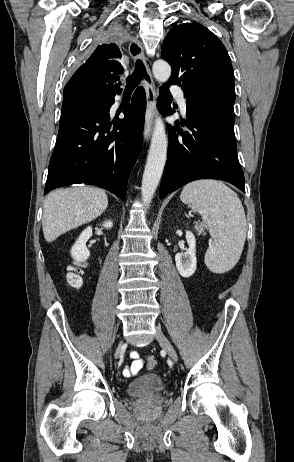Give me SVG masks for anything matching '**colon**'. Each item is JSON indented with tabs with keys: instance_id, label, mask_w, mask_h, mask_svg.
I'll list each match as a JSON object with an SVG mask.
<instances>
[{
	"instance_id": "colon-1",
	"label": "colon",
	"mask_w": 294,
	"mask_h": 462,
	"mask_svg": "<svg viewBox=\"0 0 294 462\" xmlns=\"http://www.w3.org/2000/svg\"><path fill=\"white\" fill-rule=\"evenodd\" d=\"M67 282L70 286L78 288L82 284V266L79 263L69 266L67 272ZM157 361L154 356H150L147 360L148 367H154Z\"/></svg>"
}]
</instances>
